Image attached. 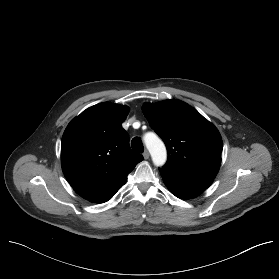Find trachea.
Here are the masks:
<instances>
[{
  "instance_id": "3493384b",
  "label": "trachea",
  "mask_w": 279,
  "mask_h": 279,
  "mask_svg": "<svg viewBox=\"0 0 279 279\" xmlns=\"http://www.w3.org/2000/svg\"><path fill=\"white\" fill-rule=\"evenodd\" d=\"M131 146H132V149L138 153L144 152V147H143L142 141L138 137H135L132 139Z\"/></svg>"
}]
</instances>
